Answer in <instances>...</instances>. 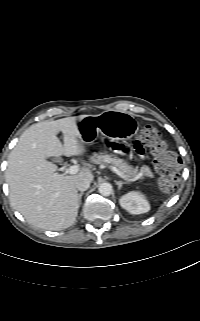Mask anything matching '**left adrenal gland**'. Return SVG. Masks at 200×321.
Wrapping results in <instances>:
<instances>
[{"mask_svg":"<svg viewBox=\"0 0 200 321\" xmlns=\"http://www.w3.org/2000/svg\"><path fill=\"white\" fill-rule=\"evenodd\" d=\"M116 185H118V189L120 190L122 188L123 184H128V182L125 181H115Z\"/></svg>","mask_w":200,"mask_h":321,"instance_id":"left-adrenal-gland-1","label":"left adrenal gland"}]
</instances>
